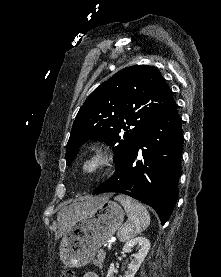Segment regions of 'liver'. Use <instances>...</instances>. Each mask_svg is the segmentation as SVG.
Wrapping results in <instances>:
<instances>
[{"instance_id":"obj_1","label":"liver","mask_w":221,"mask_h":277,"mask_svg":"<svg viewBox=\"0 0 221 277\" xmlns=\"http://www.w3.org/2000/svg\"><path fill=\"white\" fill-rule=\"evenodd\" d=\"M109 196H99V197H94V198H90L88 200H86L85 202L82 203H75L72 204L70 206L64 207L57 216V220L59 223V229L58 232L56 233V238H60L62 237V235L67 232L68 229V223L70 222V220L76 216L77 214L80 213V211L84 208V207H91L94 204H96L99 200H104V199H108Z\"/></svg>"}]
</instances>
